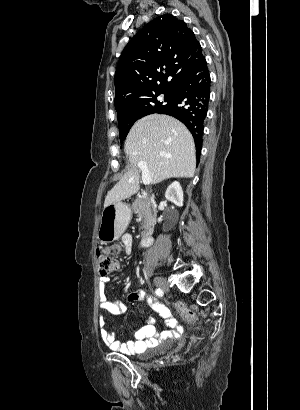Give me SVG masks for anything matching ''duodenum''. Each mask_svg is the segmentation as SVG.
Returning <instances> with one entry per match:
<instances>
[{
	"mask_svg": "<svg viewBox=\"0 0 300 410\" xmlns=\"http://www.w3.org/2000/svg\"><path fill=\"white\" fill-rule=\"evenodd\" d=\"M153 236L152 235H146L144 237H142L138 243V247L139 248H146L149 247L150 245H152L153 243Z\"/></svg>",
	"mask_w": 300,
	"mask_h": 410,
	"instance_id": "obj_1",
	"label": "duodenum"
}]
</instances>
